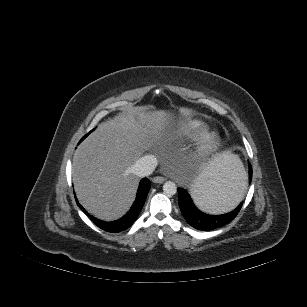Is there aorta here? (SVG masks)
Returning <instances> with one entry per match:
<instances>
[{
  "mask_svg": "<svg viewBox=\"0 0 307 307\" xmlns=\"http://www.w3.org/2000/svg\"><path fill=\"white\" fill-rule=\"evenodd\" d=\"M163 191L166 195L172 196L177 192V186L174 182L167 181L163 185Z\"/></svg>",
  "mask_w": 307,
  "mask_h": 307,
  "instance_id": "aorta-1",
  "label": "aorta"
}]
</instances>
